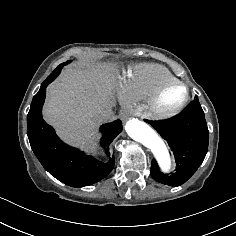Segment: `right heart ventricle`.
Returning <instances> with one entry per match:
<instances>
[{
    "label": "right heart ventricle",
    "instance_id": "right-heart-ventricle-1",
    "mask_svg": "<svg viewBox=\"0 0 236 236\" xmlns=\"http://www.w3.org/2000/svg\"><path fill=\"white\" fill-rule=\"evenodd\" d=\"M177 80L164 66L142 64L133 69L132 80L122 90L128 101H146L164 83Z\"/></svg>",
    "mask_w": 236,
    "mask_h": 236
}]
</instances>
